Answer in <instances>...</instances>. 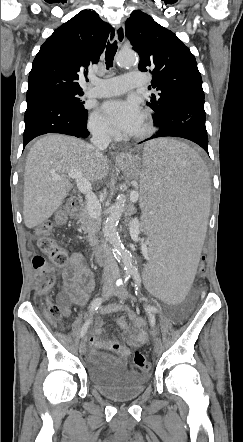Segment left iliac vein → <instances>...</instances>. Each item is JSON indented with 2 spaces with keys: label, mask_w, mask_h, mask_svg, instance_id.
Instances as JSON below:
<instances>
[{
  "label": "left iliac vein",
  "mask_w": 243,
  "mask_h": 442,
  "mask_svg": "<svg viewBox=\"0 0 243 442\" xmlns=\"http://www.w3.org/2000/svg\"><path fill=\"white\" fill-rule=\"evenodd\" d=\"M114 294L121 300V301H126L128 299H130V294L124 290V289H119V288H114ZM154 350L157 354H159L162 350V343L161 340L159 338H156L155 343H154Z\"/></svg>",
  "instance_id": "obj_1"
}]
</instances>
